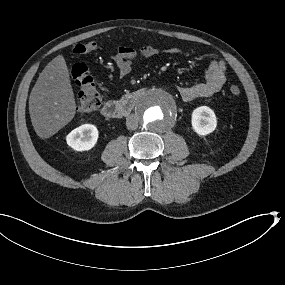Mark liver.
Segmentation results:
<instances>
[{
    "mask_svg": "<svg viewBox=\"0 0 285 285\" xmlns=\"http://www.w3.org/2000/svg\"><path fill=\"white\" fill-rule=\"evenodd\" d=\"M76 99L65 57H54L40 73L29 96V114L37 136L48 139L76 114Z\"/></svg>",
    "mask_w": 285,
    "mask_h": 285,
    "instance_id": "6515ba94",
    "label": "liver"
}]
</instances>
